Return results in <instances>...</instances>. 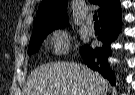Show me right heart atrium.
Returning a JSON list of instances; mask_svg holds the SVG:
<instances>
[{
  "mask_svg": "<svg viewBox=\"0 0 135 95\" xmlns=\"http://www.w3.org/2000/svg\"><path fill=\"white\" fill-rule=\"evenodd\" d=\"M72 38L65 29H56L51 34V46L56 55L66 54L71 48Z\"/></svg>",
  "mask_w": 135,
  "mask_h": 95,
  "instance_id": "d8ad5b80",
  "label": "right heart atrium"
}]
</instances>
